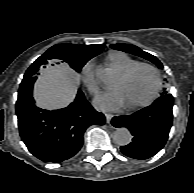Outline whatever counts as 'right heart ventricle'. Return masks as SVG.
Listing matches in <instances>:
<instances>
[{"mask_svg": "<svg viewBox=\"0 0 194 193\" xmlns=\"http://www.w3.org/2000/svg\"><path fill=\"white\" fill-rule=\"evenodd\" d=\"M108 61L110 64L115 67L120 73L126 71L133 65L139 63L137 60L131 58L123 52L111 53L108 56Z\"/></svg>", "mask_w": 194, "mask_h": 193, "instance_id": "e07e8e85", "label": "right heart ventricle"}]
</instances>
